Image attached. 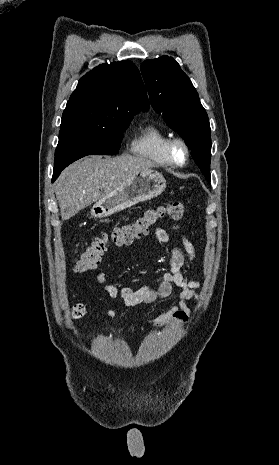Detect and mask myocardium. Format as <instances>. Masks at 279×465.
Listing matches in <instances>:
<instances>
[{
	"instance_id": "f54148a6",
	"label": "myocardium",
	"mask_w": 279,
	"mask_h": 465,
	"mask_svg": "<svg viewBox=\"0 0 279 465\" xmlns=\"http://www.w3.org/2000/svg\"><path fill=\"white\" fill-rule=\"evenodd\" d=\"M178 148H180L183 153L181 159H178L176 156V150ZM166 152L171 163L177 166L184 165L189 158V147L185 140L178 136L170 137L168 139L166 143Z\"/></svg>"
}]
</instances>
